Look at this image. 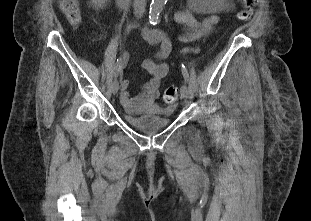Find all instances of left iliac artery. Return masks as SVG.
I'll return each instance as SVG.
<instances>
[{
    "label": "left iliac artery",
    "instance_id": "left-iliac-artery-1",
    "mask_svg": "<svg viewBox=\"0 0 311 221\" xmlns=\"http://www.w3.org/2000/svg\"><path fill=\"white\" fill-rule=\"evenodd\" d=\"M156 23H159V20H156L155 24ZM182 74L184 76L185 81H188L189 75H188V71H187L186 67L184 66V64H182Z\"/></svg>",
    "mask_w": 311,
    "mask_h": 221
}]
</instances>
